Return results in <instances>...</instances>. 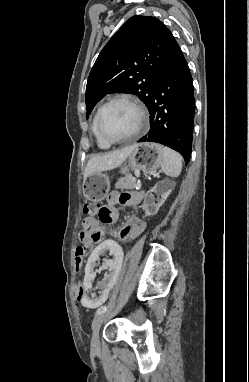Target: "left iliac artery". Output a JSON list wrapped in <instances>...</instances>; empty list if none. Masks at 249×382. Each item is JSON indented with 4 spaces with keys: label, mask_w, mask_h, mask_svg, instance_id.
<instances>
[{
    "label": "left iliac artery",
    "mask_w": 249,
    "mask_h": 382,
    "mask_svg": "<svg viewBox=\"0 0 249 382\" xmlns=\"http://www.w3.org/2000/svg\"><path fill=\"white\" fill-rule=\"evenodd\" d=\"M106 310H107V307H106V306H102V307H100V308L97 310L96 314L105 312Z\"/></svg>",
    "instance_id": "obj_1"
}]
</instances>
